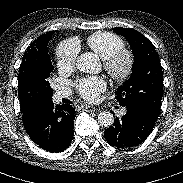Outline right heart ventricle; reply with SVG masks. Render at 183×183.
<instances>
[{
  "mask_svg": "<svg viewBox=\"0 0 183 183\" xmlns=\"http://www.w3.org/2000/svg\"><path fill=\"white\" fill-rule=\"evenodd\" d=\"M86 44L102 59L107 58L125 45L120 36L107 31H98L89 35Z\"/></svg>",
  "mask_w": 183,
  "mask_h": 183,
  "instance_id": "e07e8e85",
  "label": "right heart ventricle"
}]
</instances>
